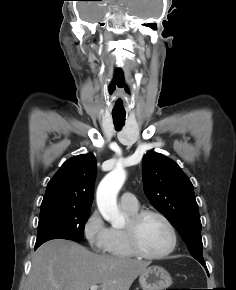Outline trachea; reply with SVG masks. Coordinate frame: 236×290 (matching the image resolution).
Segmentation results:
<instances>
[{
	"label": "trachea",
	"mask_w": 236,
	"mask_h": 290,
	"mask_svg": "<svg viewBox=\"0 0 236 290\" xmlns=\"http://www.w3.org/2000/svg\"><path fill=\"white\" fill-rule=\"evenodd\" d=\"M113 123L117 130H120L125 124V113H112Z\"/></svg>",
	"instance_id": "1"
}]
</instances>
